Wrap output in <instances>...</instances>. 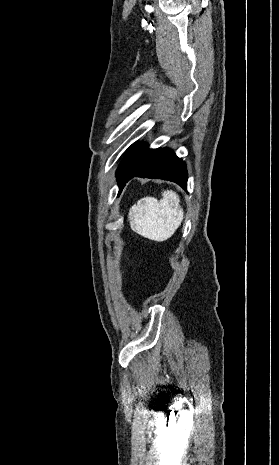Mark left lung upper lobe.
<instances>
[{
    "mask_svg": "<svg viewBox=\"0 0 279 465\" xmlns=\"http://www.w3.org/2000/svg\"><path fill=\"white\" fill-rule=\"evenodd\" d=\"M158 149H148L147 144L134 143L127 150L125 157L117 170L119 188L135 174L157 151Z\"/></svg>",
    "mask_w": 279,
    "mask_h": 465,
    "instance_id": "5c2ea615",
    "label": "left lung upper lobe"
}]
</instances>
